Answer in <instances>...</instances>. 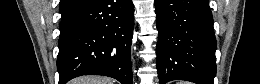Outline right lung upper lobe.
<instances>
[{
  "mask_svg": "<svg viewBox=\"0 0 260 84\" xmlns=\"http://www.w3.org/2000/svg\"><path fill=\"white\" fill-rule=\"evenodd\" d=\"M88 1L89 0H61L60 9H61L62 18L72 13L73 11H75L76 9H78Z\"/></svg>",
  "mask_w": 260,
  "mask_h": 84,
  "instance_id": "right-lung-upper-lobe-1",
  "label": "right lung upper lobe"
}]
</instances>
